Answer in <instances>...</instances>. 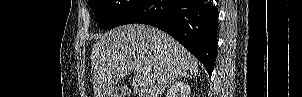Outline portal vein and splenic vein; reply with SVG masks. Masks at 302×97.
<instances>
[{"instance_id":"obj_1","label":"portal vein and splenic vein","mask_w":302,"mask_h":97,"mask_svg":"<svg viewBox=\"0 0 302 97\" xmlns=\"http://www.w3.org/2000/svg\"><path fill=\"white\" fill-rule=\"evenodd\" d=\"M136 71L143 72V73L149 72V70L147 68L142 67V66L136 67Z\"/></svg>"}]
</instances>
